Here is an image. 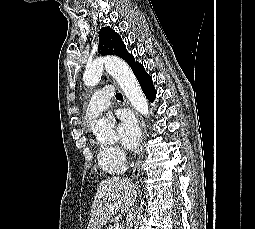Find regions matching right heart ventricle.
<instances>
[{"instance_id":"obj_1","label":"right heart ventricle","mask_w":255,"mask_h":229,"mask_svg":"<svg viewBox=\"0 0 255 229\" xmlns=\"http://www.w3.org/2000/svg\"><path fill=\"white\" fill-rule=\"evenodd\" d=\"M96 156L99 166L106 173L119 175L126 170L125 160L116 159L109 145L99 144L96 148Z\"/></svg>"}]
</instances>
